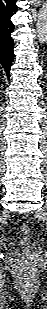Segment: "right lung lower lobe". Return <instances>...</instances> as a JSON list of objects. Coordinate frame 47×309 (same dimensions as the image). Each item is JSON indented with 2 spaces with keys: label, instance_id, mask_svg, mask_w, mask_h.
Wrapping results in <instances>:
<instances>
[{
  "label": "right lung lower lobe",
  "instance_id": "98d812e1",
  "mask_svg": "<svg viewBox=\"0 0 47 309\" xmlns=\"http://www.w3.org/2000/svg\"><path fill=\"white\" fill-rule=\"evenodd\" d=\"M16 1L0 0V64L5 69L8 78L14 56V43L10 34L15 28L11 17L17 12Z\"/></svg>",
  "mask_w": 47,
  "mask_h": 309
}]
</instances>
